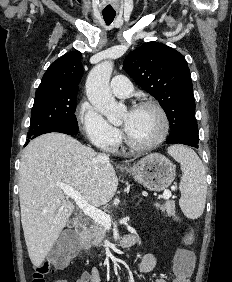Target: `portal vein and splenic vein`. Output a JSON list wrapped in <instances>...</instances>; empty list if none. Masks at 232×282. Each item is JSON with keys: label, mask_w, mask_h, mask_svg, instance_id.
Segmentation results:
<instances>
[{"label": "portal vein and splenic vein", "mask_w": 232, "mask_h": 282, "mask_svg": "<svg viewBox=\"0 0 232 282\" xmlns=\"http://www.w3.org/2000/svg\"><path fill=\"white\" fill-rule=\"evenodd\" d=\"M59 186L63 190L64 194L67 197L72 198L77 203V205L80 207V209L87 216H89L95 222H98V223L104 225L105 227H111L112 219H111L110 215H108L105 212H103V211L97 209L96 207L90 205L84 199V197L74 188H72L68 185H64V184H60ZM171 196H172L171 191L165 190L163 195H162V198L167 200ZM128 220H129V217H125V218L120 220V224H125Z\"/></svg>", "instance_id": "1"}]
</instances>
